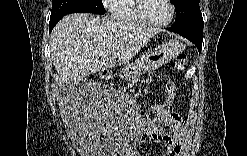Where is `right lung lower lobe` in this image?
Listing matches in <instances>:
<instances>
[{
    "label": "right lung lower lobe",
    "mask_w": 247,
    "mask_h": 156,
    "mask_svg": "<svg viewBox=\"0 0 247 156\" xmlns=\"http://www.w3.org/2000/svg\"><path fill=\"white\" fill-rule=\"evenodd\" d=\"M60 19H61V18H60ZM60 19L50 20V23H49V31H50V32L52 31V29L54 28V26L57 24V22H58Z\"/></svg>",
    "instance_id": "obj_1"
}]
</instances>
